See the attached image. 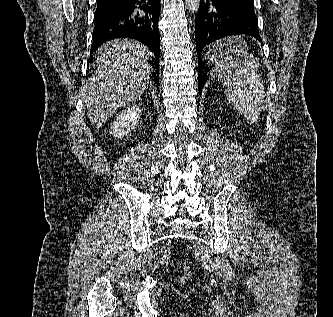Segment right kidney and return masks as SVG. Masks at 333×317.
Here are the masks:
<instances>
[{"label":"right kidney","instance_id":"right-kidney-1","mask_svg":"<svg viewBox=\"0 0 333 317\" xmlns=\"http://www.w3.org/2000/svg\"><path fill=\"white\" fill-rule=\"evenodd\" d=\"M141 107L133 105L122 111L110 126V134L123 138L131 133L139 123Z\"/></svg>","mask_w":333,"mask_h":317}]
</instances>
